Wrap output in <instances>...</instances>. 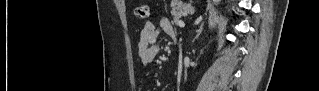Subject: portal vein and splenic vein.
Listing matches in <instances>:
<instances>
[{
    "label": "portal vein and splenic vein",
    "mask_w": 319,
    "mask_h": 91,
    "mask_svg": "<svg viewBox=\"0 0 319 91\" xmlns=\"http://www.w3.org/2000/svg\"><path fill=\"white\" fill-rule=\"evenodd\" d=\"M178 26L181 27V28H183V27L185 26V24H184V22H182V21H178Z\"/></svg>",
    "instance_id": "1"
}]
</instances>
